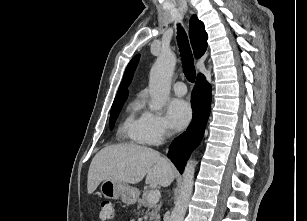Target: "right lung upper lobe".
Instances as JSON below:
<instances>
[{"label": "right lung upper lobe", "mask_w": 307, "mask_h": 221, "mask_svg": "<svg viewBox=\"0 0 307 221\" xmlns=\"http://www.w3.org/2000/svg\"><path fill=\"white\" fill-rule=\"evenodd\" d=\"M190 39L196 58L201 57L207 49V33L205 32L203 22L198 20L196 15H193L190 19ZM138 60L139 55H136L128 64L113 103L125 101L127 98V88L131 83Z\"/></svg>", "instance_id": "cb5924a9"}]
</instances>
